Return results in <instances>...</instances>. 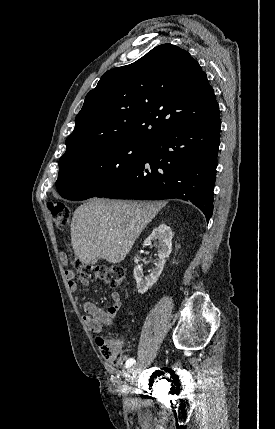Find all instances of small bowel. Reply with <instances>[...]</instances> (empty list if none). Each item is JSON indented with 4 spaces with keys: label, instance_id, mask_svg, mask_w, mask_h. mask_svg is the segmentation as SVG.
Masks as SVG:
<instances>
[{
    "label": "small bowel",
    "instance_id": "obj_1",
    "mask_svg": "<svg viewBox=\"0 0 275 429\" xmlns=\"http://www.w3.org/2000/svg\"><path fill=\"white\" fill-rule=\"evenodd\" d=\"M65 276L69 289L71 291H76L77 284L75 281V274L71 270L65 271ZM83 285H88L89 281L87 279H80ZM113 304L110 305L107 309H102L91 301H83L82 307L85 312L83 316V321L86 327L93 333H101L104 326L112 325L115 321L117 313L121 307V298L120 295L116 292L112 294Z\"/></svg>",
    "mask_w": 275,
    "mask_h": 429
}]
</instances>
